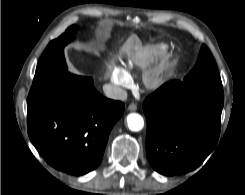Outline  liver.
Returning <instances> with one entry per match:
<instances>
[{"label":"liver","instance_id":"obj_1","mask_svg":"<svg viewBox=\"0 0 245 195\" xmlns=\"http://www.w3.org/2000/svg\"><path fill=\"white\" fill-rule=\"evenodd\" d=\"M121 52L133 58H136L142 53V45L138 37L132 34L121 48Z\"/></svg>","mask_w":245,"mask_h":195}]
</instances>
